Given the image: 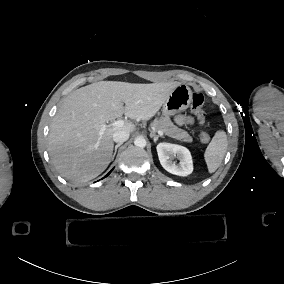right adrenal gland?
<instances>
[{
	"mask_svg": "<svg viewBox=\"0 0 284 284\" xmlns=\"http://www.w3.org/2000/svg\"><path fill=\"white\" fill-rule=\"evenodd\" d=\"M122 145V143H118L117 145H115V148H114V153L112 154L111 156V160H114V157L117 153V149Z\"/></svg>",
	"mask_w": 284,
	"mask_h": 284,
	"instance_id": "right-adrenal-gland-1",
	"label": "right adrenal gland"
}]
</instances>
